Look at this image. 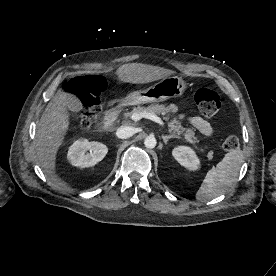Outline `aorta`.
Returning <instances> with one entry per match:
<instances>
[{"label":"aorta","instance_id":"aorta-1","mask_svg":"<svg viewBox=\"0 0 276 276\" xmlns=\"http://www.w3.org/2000/svg\"><path fill=\"white\" fill-rule=\"evenodd\" d=\"M157 144V141L155 139L154 136H147L144 140V145L147 147V148H154Z\"/></svg>","mask_w":276,"mask_h":276}]
</instances>
